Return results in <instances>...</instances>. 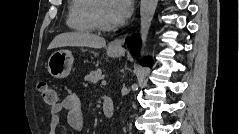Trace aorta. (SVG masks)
Wrapping results in <instances>:
<instances>
[{
    "mask_svg": "<svg viewBox=\"0 0 239 134\" xmlns=\"http://www.w3.org/2000/svg\"><path fill=\"white\" fill-rule=\"evenodd\" d=\"M158 0H141L140 1V37L142 40L141 55L144 54L149 29L155 10L157 7ZM136 84L132 85V90H135Z\"/></svg>",
    "mask_w": 239,
    "mask_h": 134,
    "instance_id": "762f6f07",
    "label": "aorta"
}]
</instances>
